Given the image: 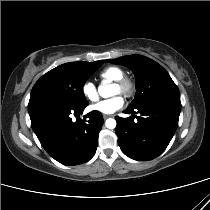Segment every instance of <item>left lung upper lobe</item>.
<instances>
[{
    "label": "left lung upper lobe",
    "mask_w": 210,
    "mask_h": 210,
    "mask_svg": "<svg viewBox=\"0 0 210 210\" xmlns=\"http://www.w3.org/2000/svg\"><path fill=\"white\" fill-rule=\"evenodd\" d=\"M107 62L125 65L134 72L137 91L130 108L153 99H180L179 90L168 72L152 59L141 55H128L108 59Z\"/></svg>",
    "instance_id": "obj_1"
}]
</instances>
